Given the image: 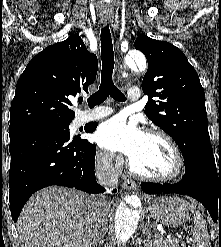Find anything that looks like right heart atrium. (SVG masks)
<instances>
[{
	"label": "right heart atrium",
	"mask_w": 221,
	"mask_h": 247,
	"mask_svg": "<svg viewBox=\"0 0 221 247\" xmlns=\"http://www.w3.org/2000/svg\"><path fill=\"white\" fill-rule=\"evenodd\" d=\"M97 159L102 166L108 167L112 162L113 156L107 151H100L97 155Z\"/></svg>",
	"instance_id": "1"
}]
</instances>
